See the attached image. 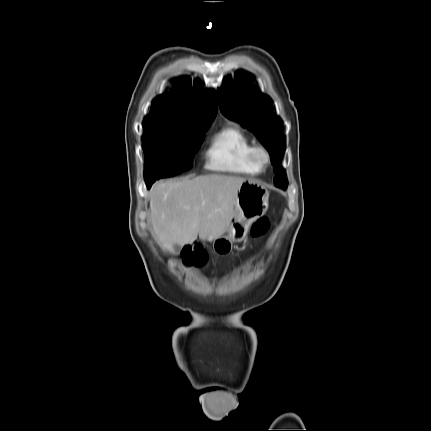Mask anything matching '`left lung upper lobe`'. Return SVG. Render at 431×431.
I'll return each mask as SVG.
<instances>
[{
	"mask_svg": "<svg viewBox=\"0 0 431 431\" xmlns=\"http://www.w3.org/2000/svg\"><path fill=\"white\" fill-rule=\"evenodd\" d=\"M221 112L253 132L271 155L276 173L275 186L285 190L288 185L281 160L285 151L284 126L275 115L271 99L253 85V77L243 71L228 78L217 91Z\"/></svg>",
	"mask_w": 431,
	"mask_h": 431,
	"instance_id": "left-lung-upper-lobe-1",
	"label": "left lung upper lobe"
}]
</instances>
